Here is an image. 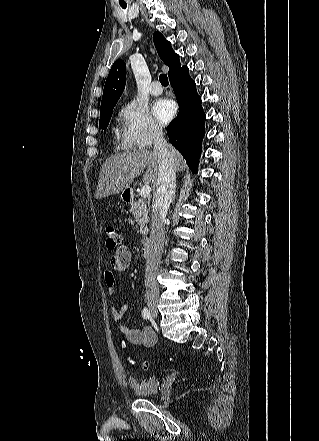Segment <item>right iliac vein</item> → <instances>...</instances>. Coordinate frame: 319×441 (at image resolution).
I'll use <instances>...</instances> for the list:
<instances>
[{
    "mask_svg": "<svg viewBox=\"0 0 319 441\" xmlns=\"http://www.w3.org/2000/svg\"><path fill=\"white\" fill-rule=\"evenodd\" d=\"M147 305H148V308H149L151 315L156 318L158 316L157 301L150 299V300H148Z\"/></svg>",
    "mask_w": 319,
    "mask_h": 441,
    "instance_id": "right-iliac-vein-1",
    "label": "right iliac vein"
}]
</instances>
